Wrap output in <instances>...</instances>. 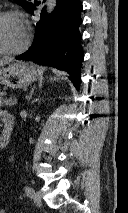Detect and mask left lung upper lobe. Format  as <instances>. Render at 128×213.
I'll list each match as a JSON object with an SVG mask.
<instances>
[{"instance_id": "1", "label": "left lung upper lobe", "mask_w": 128, "mask_h": 213, "mask_svg": "<svg viewBox=\"0 0 128 213\" xmlns=\"http://www.w3.org/2000/svg\"><path fill=\"white\" fill-rule=\"evenodd\" d=\"M22 7L29 10L30 7L33 5L31 2H27L26 0H16Z\"/></svg>"}]
</instances>
